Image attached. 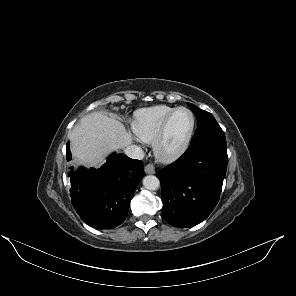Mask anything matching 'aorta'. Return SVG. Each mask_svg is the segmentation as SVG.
Instances as JSON below:
<instances>
[{"instance_id":"1","label":"aorta","mask_w":296,"mask_h":296,"mask_svg":"<svg viewBox=\"0 0 296 296\" xmlns=\"http://www.w3.org/2000/svg\"><path fill=\"white\" fill-rule=\"evenodd\" d=\"M143 185L148 190H156L160 186V181L156 176L148 175L144 177Z\"/></svg>"}]
</instances>
